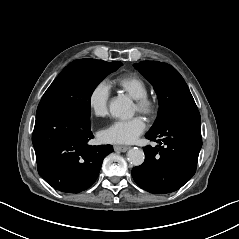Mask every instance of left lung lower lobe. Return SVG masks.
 I'll return each mask as SVG.
<instances>
[{
    "mask_svg": "<svg viewBox=\"0 0 239 239\" xmlns=\"http://www.w3.org/2000/svg\"><path fill=\"white\" fill-rule=\"evenodd\" d=\"M198 109L172 115L146 138L159 143L144 147L145 161L132 169L135 182L142 189L164 194L180 189L196 172L202 146ZM161 138V139H159Z\"/></svg>",
    "mask_w": 239,
    "mask_h": 239,
    "instance_id": "obj_1",
    "label": "left lung lower lobe"
}]
</instances>
